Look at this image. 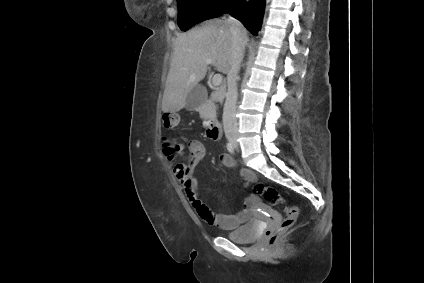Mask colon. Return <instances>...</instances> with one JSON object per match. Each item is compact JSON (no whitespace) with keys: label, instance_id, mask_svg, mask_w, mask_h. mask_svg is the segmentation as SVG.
I'll list each match as a JSON object with an SVG mask.
<instances>
[{"label":"colon","instance_id":"5ec220e1","mask_svg":"<svg viewBox=\"0 0 424 283\" xmlns=\"http://www.w3.org/2000/svg\"><path fill=\"white\" fill-rule=\"evenodd\" d=\"M180 117L175 113H164L162 115V123L166 129H174L179 124ZM182 147L180 144L176 143L173 140L165 141L163 145L164 155L170 159L175 160L181 154ZM254 191L257 195L262 196L268 203L276 205H284V219L279 224L278 227L268 229L265 233L268 243L273 245L278 240L279 236L291 228L298 217V208L295 205L287 204V201L279 194V192L273 187L267 186L262 183H258Z\"/></svg>","mask_w":424,"mask_h":283}]
</instances>
